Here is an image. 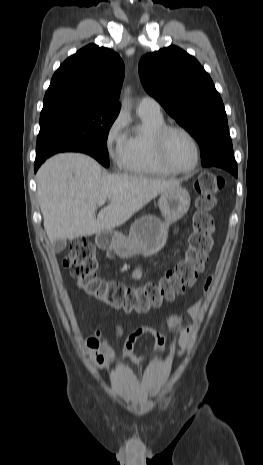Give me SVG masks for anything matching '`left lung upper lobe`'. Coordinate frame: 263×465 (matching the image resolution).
<instances>
[{
    "label": "left lung upper lobe",
    "instance_id": "1",
    "mask_svg": "<svg viewBox=\"0 0 263 465\" xmlns=\"http://www.w3.org/2000/svg\"><path fill=\"white\" fill-rule=\"evenodd\" d=\"M143 87L199 143L204 160L235 161L222 99L204 68L176 46L144 55Z\"/></svg>",
    "mask_w": 263,
    "mask_h": 465
}]
</instances>
